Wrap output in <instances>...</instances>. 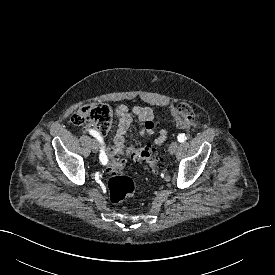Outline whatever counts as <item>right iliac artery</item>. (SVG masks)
<instances>
[{"label": "right iliac artery", "mask_w": 275, "mask_h": 275, "mask_svg": "<svg viewBox=\"0 0 275 275\" xmlns=\"http://www.w3.org/2000/svg\"><path fill=\"white\" fill-rule=\"evenodd\" d=\"M89 133L93 137H95L98 140V142L101 144V150H100L99 158H100L101 163L103 165H106L107 162H108V159H107V156H106L105 151H104V146H103L104 142H103L102 136L96 130H93V129H90Z\"/></svg>", "instance_id": "right-iliac-artery-1"}]
</instances>
